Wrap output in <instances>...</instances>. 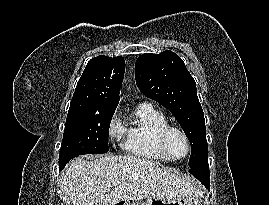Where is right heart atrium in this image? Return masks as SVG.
Here are the masks:
<instances>
[{
    "mask_svg": "<svg viewBox=\"0 0 269 205\" xmlns=\"http://www.w3.org/2000/svg\"><path fill=\"white\" fill-rule=\"evenodd\" d=\"M126 131L118 113H113L107 124V133L113 144L121 145L125 141Z\"/></svg>",
    "mask_w": 269,
    "mask_h": 205,
    "instance_id": "right-heart-atrium-1",
    "label": "right heart atrium"
}]
</instances>
